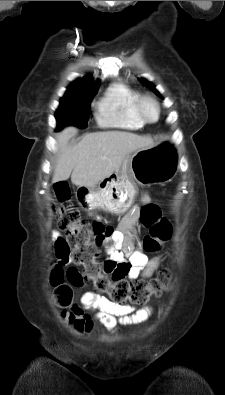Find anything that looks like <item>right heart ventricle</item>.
I'll use <instances>...</instances> for the list:
<instances>
[{"mask_svg":"<svg viewBox=\"0 0 225 395\" xmlns=\"http://www.w3.org/2000/svg\"><path fill=\"white\" fill-rule=\"evenodd\" d=\"M139 96L136 90L122 82L111 84L97 103L98 124L126 130L142 128L144 123L135 111V103Z\"/></svg>","mask_w":225,"mask_h":395,"instance_id":"1","label":"right heart ventricle"}]
</instances>
